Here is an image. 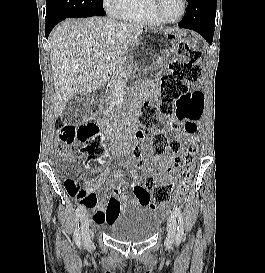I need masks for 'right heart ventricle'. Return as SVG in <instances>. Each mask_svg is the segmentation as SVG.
<instances>
[{
    "label": "right heart ventricle",
    "instance_id": "obj_1",
    "mask_svg": "<svg viewBox=\"0 0 265 273\" xmlns=\"http://www.w3.org/2000/svg\"><path fill=\"white\" fill-rule=\"evenodd\" d=\"M120 19L148 26H161L150 8V0H125L117 14Z\"/></svg>",
    "mask_w": 265,
    "mask_h": 273
}]
</instances>
